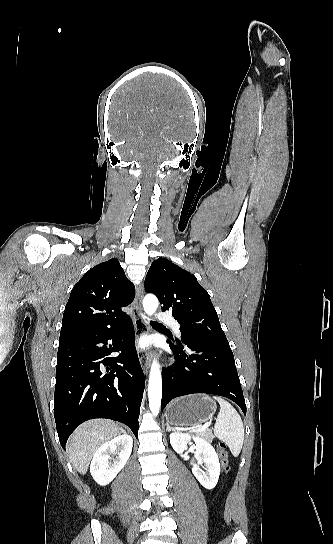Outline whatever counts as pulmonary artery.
Masks as SVG:
<instances>
[{
	"instance_id": "obj_1",
	"label": "pulmonary artery",
	"mask_w": 333,
	"mask_h": 544,
	"mask_svg": "<svg viewBox=\"0 0 333 544\" xmlns=\"http://www.w3.org/2000/svg\"><path fill=\"white\" fill-rule=\"evenodd\" d=\"M157 318L165 323L172 325L177 334H180V325L179 323L169 314L160 313L157 315Z\"/></svg>"
}]
</instances>
